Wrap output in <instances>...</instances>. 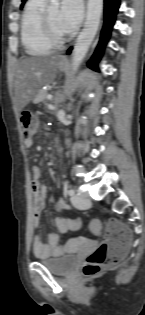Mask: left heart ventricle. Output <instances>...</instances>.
Returning <instances> with one entry per match:
<instances>
[{
  "mask_svg": "<svg viewBox=\"0 0 145 315\" xmlns=\"http://www.w3.org/2000/svg\"><path fill=\"white\" fill-rule=\"evenodd\" d=\"M47 11H48L50 21H51V24L55 33L59 37H63L67 35L69 32L66 30V28L64 27L62 23V20L60 17V11L58 7H50Z\"/></svg>",
  "mask_w": 145,
  "mask_h": 315,
  "instance_id": "1",
  "label": "left heart ventricle"
}]
</instances>
